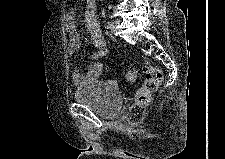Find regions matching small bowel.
Returning a JSON list of instances; mask_svg holds the SVG:
<instances>
[{"label":"small bowel","mask_w":225,"mask_h":159,"mask_svg":"<svg viewBox=\"0 0 225 159\" xmlns=\"http://www.w3.org/2000/svg\"><path fill=\"white\" fill-rule=\"evenodd\" d=\"M84 25L89 35L90 43L95 50L90 54L92 60L82 72L78 68L72 70V80L76 85H83L96 80L102 74V64L99 59L105 57L109 48L101 32L96 17V3L94 0H87L84 14ZM66 34L69 38L68 55L73 57L80 46V35L76 27V14L70 10L66 15L65 22Z\"/></svg>","instance_id":"obj_1"}]
</instances>
